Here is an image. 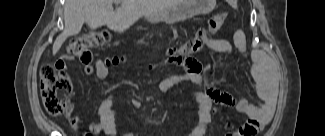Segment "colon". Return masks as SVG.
I'll list each match as a JSON object with an SVG mask.
<instances>
[{"label": "colon", "instance_id": "colon-1", "mask_svg": "<svg viewBox=\"0 0 325 136\" xmlns=\"http://www.w3.org/2000/svg\"><path fill=\"white\" fill-rule=\"evenodd\" d=\"M226 15H215L205 28L199 29L196 34L180 47L170 50L177 60L188 61L192 56L205 49L207 41L212 39L220 30ZM110 34L106 30L91 31L74 38L68 45L66 56L89 64L93 59V50L105 46L110 41ZM120 59H108L107 64H118ZM40 91L45 110L50 115H61L68 109V92L63 88L61 80L52 66H44L40 72ZM90 136V134H86Z\"/></svg>", "mask_w": 325, "mask_h": 136}]
</instances>
